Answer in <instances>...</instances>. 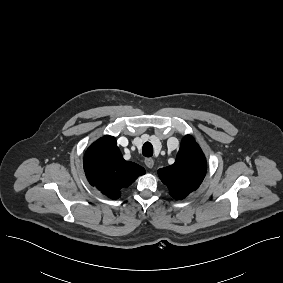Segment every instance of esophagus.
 Returning <instances> with one entry per match:
<instances>
[{"instance_id": "1", "label": "esophagus", "mask_w": 283, "mask_h": 283, "mask_svg": "<svg viewBox=\"0 0 283 283\" xmlns=\"http://www.w3.org/2000/svg\"><path fill=\"white\" fill-rule=\"evenodd\" d=\"M144 163H145V165H146L148 168H150V169H152L153 166H154V160H153L152 158H146V159L144 160Z\"/></svg>"}]
</instances>
